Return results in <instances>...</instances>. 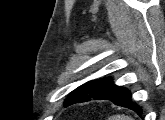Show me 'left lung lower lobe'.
Segmentation results:
<instances>
[{
    "label": "left lung lower lobe",
    "instance_id": "1",
    "mask_svg": "<svg viewBox=\"0 0 165 120\" xmlns=\"http://www.w3.org/2000/svg\"><path fill=\"white\" fill-rule=\"evenodd\" d=\"M102 100H110L115 105L132 109L137 114L141 115V108L131 101V93L124 87H119L114 93Z\"/></svg>",
    "mask_w": 165,
    "mask_h": 120
}]
</instances>
